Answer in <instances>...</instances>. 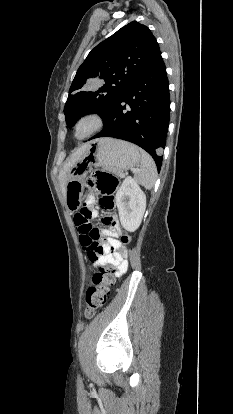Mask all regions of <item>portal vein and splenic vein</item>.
Instances as JSON below:
<instances>
[{"mask_svg":"<svg viewBox=\"0 0 233 414\" xmlns=\"http://www.w3.org/2000/svg\"><path fill=\"white\" fill-rule=\"evenodd\" d=\"M139 170L138 169H134V172H138Z\"/></svg>","mask_w":233,"mask_h":414,"instance_id":"18ae733b","label":"portal vein and splenic vein"}]
</instances>
